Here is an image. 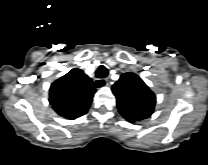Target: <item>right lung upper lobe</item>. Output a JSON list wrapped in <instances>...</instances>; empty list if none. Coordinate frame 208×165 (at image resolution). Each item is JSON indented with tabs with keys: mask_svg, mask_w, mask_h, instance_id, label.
Wrapping results in <instances>:
<instances>
[{
	"mask_svg": "<svg viewBox=\"0 0 208 165\" xmlns=\"http://www.w3.org/2000/svg\"><path fill=\"white\" fill-rule=\"evenodd\" d=\"M96 89L82 70L72 69L51 84L49 102L62 117L74 120L88 111Z\"/></svg>",
	"mask_w": 208,
	"mask_h": 165,
	"instance_id": "cb5924a9",
	"label": "right lung upper lobe"
}]
</instances>
